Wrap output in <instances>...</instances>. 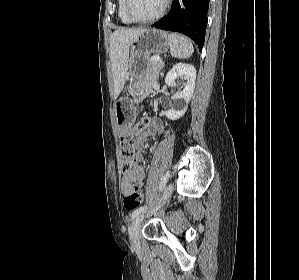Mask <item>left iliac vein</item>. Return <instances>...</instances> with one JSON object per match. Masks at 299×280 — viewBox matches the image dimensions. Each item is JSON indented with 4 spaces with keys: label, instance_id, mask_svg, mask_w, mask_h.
<instances>
[{
    "label": "left iliac vein",
    "instance_id": "1",
    "mask_svg": "<svg viewBox=\"0 0 299 280\" xmlns=\"http://www.w3.org/2000/svg\"><path fill=\"white\" fill-rule=\"evenodd\" d=\"M171 191H172V184L170 183L167 186V188L162 196V199H161L159 205L156 207V209L160 208L166 202V200L168 199V197L171 194ZM149 213H151V212H148L147 214H149ZM145 216H146V214H144V213L136 216L131 224V227H130L129 238H130V241H131V244H132V247L134 250H137L140 247L138 234H139L140 224L143 221Z\"/></svg>",
    "mask_w": 299,
    "mask_h": 280
}]
</instances>
